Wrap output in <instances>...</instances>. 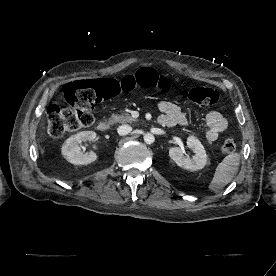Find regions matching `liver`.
<instances>
[{
    "instance_id": "obj_1",
    "label": "liver",
    "mask_w": 276,
    "mask_h": 276,
    "mask_svg": "<svg viewBox=\"0 0 276 276\" xmlns=\"http://www.w3.org/2000/svg\"><path fill=\"white\" fill-rule=\"evenodd\" d=\"M42 129L44 130L45 129V120L43 121V123H42ZM44 134H43V132H42V136H43Z\"/></svg>"
}]
</instances>
